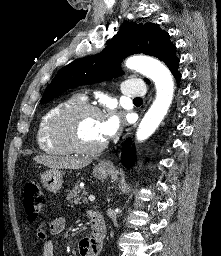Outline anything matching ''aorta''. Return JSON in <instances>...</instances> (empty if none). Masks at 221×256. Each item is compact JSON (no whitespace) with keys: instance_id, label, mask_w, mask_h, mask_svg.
<instances>
[{"instance_id":"762f6f07","label":"aorta","mask_w":221,"mask_h":256,"mask_svg":"<svg viewBox=\"0 0 221 256\" xmlns=\"http://www.w3.org/2000/svg\"><path fill=\"white\" fill-rule=\"evenodd\" d=\"M126 66L149 77L156 86V98L136 132V139L144 141L154 133L167 114L173 99L174 83L168 68L157 60L134 57L126 61Z\"/></svg>"}]
</instances>
